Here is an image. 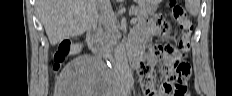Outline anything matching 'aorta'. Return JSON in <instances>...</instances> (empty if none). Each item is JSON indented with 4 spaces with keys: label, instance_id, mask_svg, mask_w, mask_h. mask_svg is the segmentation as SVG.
<instances>
[{
    "label": "aorta",
    "instance_id": "1",
    "mask_svg": "<svg viewBox=\"0 0 232 96\" xmlns=\"http://www.w3.org/2000/svg\"><path fill=\"white\" fill-rule=\"evenodd\" d=\"M115 60L118 70L126 76H129L131 71L128 65V60L125 51L124 43L119 44L115 49Z\"/></svg>",
    "mask_w": 232,
    "mask_h": 96
}]
</instances>
